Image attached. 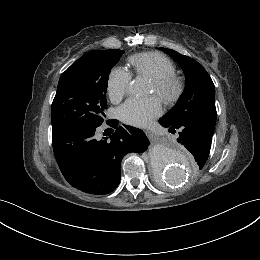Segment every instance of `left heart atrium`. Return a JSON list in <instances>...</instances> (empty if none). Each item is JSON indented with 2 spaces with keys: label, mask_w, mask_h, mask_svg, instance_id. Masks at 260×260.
<instances>
[{
  "label": "left heart atrium",
  "mask_w": 260,
  "mask_h": 260,
  "mask_svg": "<svg viewBox=\"0 0 260 260\" xmlns=\"http://www.w3.org/2000/svg\"><path fill=\"white\" fill-rule=\"evenodd\" d=\"M160 111L161 103L156 97L130 98L119 108V117L125 123L145 126Z\"/></svg>",
  "instance_id": "1"
}]
</instances>
